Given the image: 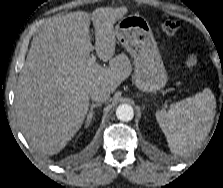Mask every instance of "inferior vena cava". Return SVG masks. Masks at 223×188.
Returning a JSON list of instances; mask_svg holds the SVG:
<instances>
[{
    "mask_svg": "<svg viewBox=\"0 0 223 188\" xmlns=\"http://www.w3.org/2000/svg\"><path fill=\"white\" fill-rule=\"evenodd\" d=\"M110 97V90L105 87L95 88L90 93V98L92 101L97 103L105 102Z\"/></svg>",
    "mask_w": 223,
    "mask_h": 188,
    "instance_id": "obj_1",
    "label": "inferior vena cava"
}]
</instances>
